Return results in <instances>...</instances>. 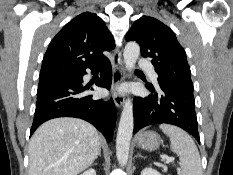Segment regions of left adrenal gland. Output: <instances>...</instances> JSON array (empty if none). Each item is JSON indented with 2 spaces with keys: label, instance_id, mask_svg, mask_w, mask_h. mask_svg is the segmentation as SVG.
<instances>
[{
  "label": "left adrenal gland",
  "instance_id": "obj_1",
  "mask_svg": "<svg viewBox=\"0 0 233 175\" xmlns=\"http://www.w3.org/2000/svg\"><path fill=\"white\" fill-rule=\"evenodd\" d=\"M136 158H144L141 154H138Z\"/></svg>",
  "mask_w": 233,
  "mask_h": 175
}]
</instances>
